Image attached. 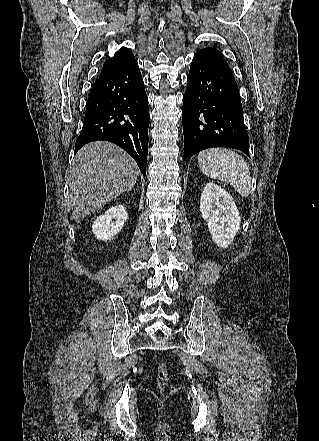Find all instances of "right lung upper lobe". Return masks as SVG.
<instances>
[{
    "mask_svg": "<svg viewBox=\"0 0 319 441\" xmlns=\"http://www.w3.org/2000/svg\"><path fill=\"white\" fill-rule=\"evenodd\" d=\"M135 61L134 55L126 47H122L114 57L104 62L99 77L113 73Z\"/></svg>",
    "mask_w": 319,
    "mask_h": 441,
    "instance_id": "cb5924a9",
    "label": "right lung upper lobe"
}]
</instances>
